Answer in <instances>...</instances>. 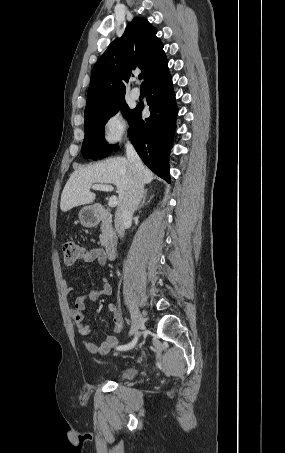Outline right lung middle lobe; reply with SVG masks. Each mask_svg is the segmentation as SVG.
<instances>
[{"label":"right lung middle lobe","instance_id":"1","mask_svg":"<svg viewBox=\"0 0 285 453\" xmlns=\"http://www.w3.org/2000/svg\"><path fill=\"white\" fill-rule=\"evenodd\" d=\"M120 109L124 117L130 121L135 109L129 110L124 97L85 114V137L81 150L84 158L102 159L115 150L117 145H109L104 139V126Z\"/></svg>","mask_w":285,"mask_h":453}]
</instances>
